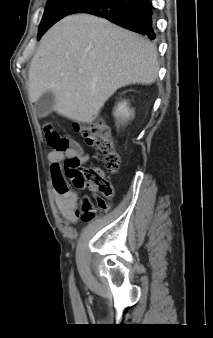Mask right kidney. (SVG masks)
<instances>
[{
	"instance_id": "right-kidney-1",
	"label": "right kidney",
	"mask_w": 213,
	"mask_h": 338,
	"mask_svg": "<svg viewBox=\"0 0 213 338\" xmlns=\"http://www.w3.org/2000/svg\"><path fill=\"white\" fill-rule=\"evenodd\" d=\"M133 115H134V111L127 106L126 101H122L115 108L114 116L116 118L120 117L125 120V119H129L131 116L133 117Z\"/></svg>"
}]
</instances>
